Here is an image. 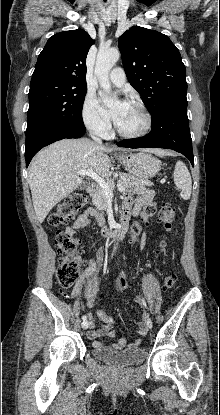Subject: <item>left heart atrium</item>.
I'll list each match as a JSON object with an SVG mask.
<instances>
[{
	"label": "left heart atrium",
	"mask_w": 220,
	"mask_h": 415,
	"mask_svg": "<svg viewBox=\"0 0 220 415\" xmlns=\"http://www.w3.org/2000/svg\"><path fill=\"white\" fill-rule=\"evenodd\" d=\"M126 105H127V102L125 101L120 102L115 107L108 109L106 111V116L117 124L125 112Z\"/></svg>",
	"instance_id": "left-heart-atrium-1"
}]
</instances>
